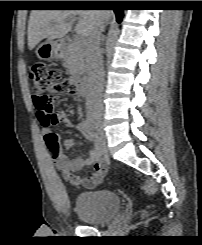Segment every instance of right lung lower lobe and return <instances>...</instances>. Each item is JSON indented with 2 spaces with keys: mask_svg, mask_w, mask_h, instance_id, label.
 <instances>
[{
  "mask_svg": "<svg viewBox=\"0 0 202 245\" xmlns=\"http://www.w3.org/2000/svg\"><path fill=\"white\" fill-rule=\"evenodd\" d=\"M101 3L97 6L112 7L116 14L117 22L120 23L123 17V10L120 8V1H100Z\"/></svg>",
  "mask_w": 202,
  "mask_h": 245,
  "instance_id": "right-lung-lower-lobe-1",
  "label": "right lung lower lobe"
}]
</instances>
